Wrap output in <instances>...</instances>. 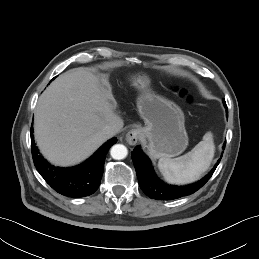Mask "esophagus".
Here are the masks:
<instances>
[{
	"instance_id": "esophagus-1",
	"label": "esophagus",
	"mask_w": 259,
	"mask_h": 259,
	"mask_svg": "<svg viewBox=\"0 0 259 259\" xmlns=\"http://www.w3.org/2000/svg\"><path fill=\"white\" fill-rule=\"evenodd\" d=\"M141 137V131L137 128L131 129L126 133L125 140L130 145H135Z\"/></svg>"
}]
</instances>
